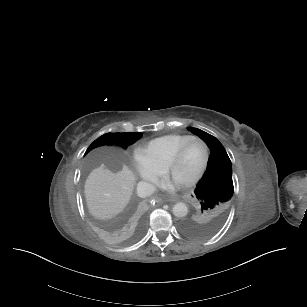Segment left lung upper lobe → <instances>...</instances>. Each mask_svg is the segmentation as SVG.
Segmentation results:
<instances>
[{
    "label": "left lung upper lobe",
    "instance_id": "1",
    "mask_svg": "<svg viewBox=\"0 0 307 307\" xmlns=\"http://www.w3.org/2000/svg\"><path fill=\"white\" fill-rule=\"evenodd\" d=\"M210 148L207 169L194 191L195 213L181 222L187 235L205 238L216 233L223 225L233 197L232 165L223 145L212 135L189 128Z\"/></svg>",
    "mask_w": 307,
    "mask_h": 307
}]
</instances>
